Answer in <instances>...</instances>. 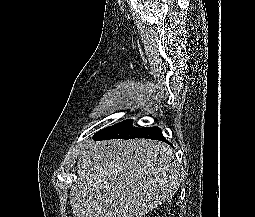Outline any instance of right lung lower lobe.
Masks as SVG:
<instances>
[{
  "instance_id": "1",
  "label": "right lung lower lobe",
  "mask_w": 255,
  "mask_h": 217,
  "mask_svg": "<svg viewBox=\"0 0 255 217\" xmlns=\"http://www.w3.org/2000/svg\"><path fill=\"white\" fill-rule=\"evenodd\" d=\"M96 140L147 138L169 143L158 127H133L132 120H125L94 135Z\"/></svg>"
}]
</instances>
